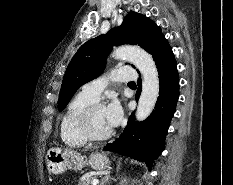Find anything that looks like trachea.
Segmentation results:
<instances>
[{"instance_id": "trachea-1", "label": "trachea", "mask_w": 233, "mask_h": 185, "mask_svg": "<svg viewBox=\"0 0 233 185\" xmlns=\"http://www.w3.org/2000/svg\"><path fill=\"white\" fill-rule=\"evenodd\" d=\"M129 84H135V82H129Z\"/></svg>"}]
</instances>
